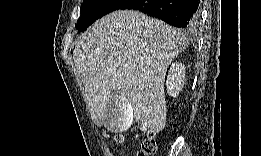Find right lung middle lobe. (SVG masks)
I'll list each match as a JSON object with an SVG mask.
<instances>
[{
	"label": "right lung middle lobe",
	"mask_w": 261,
	"mask_h": 156,
	"mask_svg": "<svg viewBox=\"0 0 261 156\" xmlns=\"http://www.w3.org/2000/svg\"><path fill=\"white\" fill-rule=\"evenodd\" d=\"M128 0H83L80 18L75 25L79 31H85L103 15L119 9Z\"/></svg>",
	"instance_id": "dd1d6c3e"
}]
</instances>
